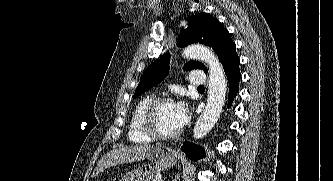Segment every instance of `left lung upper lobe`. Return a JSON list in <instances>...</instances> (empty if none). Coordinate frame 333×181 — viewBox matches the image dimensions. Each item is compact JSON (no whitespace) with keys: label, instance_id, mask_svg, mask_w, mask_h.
Returning a JSON list of instances; mask_svg holds the SVG:
<instances>
[{"label":"left lung upper lobe","instance_id":"5c2ea615","mask_svg":"<svg viewBox=\"0 0 333 181\" xmlns=\"http://www.w3.org/2000/svg\"><path fill=\"white\" fill-rule=\"evenodd\" d=\"M192 43H202L214 49L219 61L235 46L228 30L223 28L220 22L207 13L196 14L190 17L189 26L178 37L177 46L185 47ZM170 54L165 53L160 59L154 61L143 73L133 98L138 97L150 88L162 82L169 73ZM207 68L200 62L190 61L184 65V70Z\"/></svg>","mask_w":333,"mask_h":181}]
</instances>
